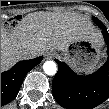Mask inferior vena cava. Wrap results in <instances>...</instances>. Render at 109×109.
I'll use <instances>...</instances> for the list:
<instances>
[{
  "label": "inferior vena cava",
  "mask_w": 109,
  "mask_h": 109,
  "mask_svg": "<svg viewBox=\"0 0 109 109\" xmlns=\"http://www.w3.org/2000/svg\"><path fill=\"white\" fill-rule=\"evenodd\" d=\"M18 55L21 59H32L36 57V52L31 49H20Z\"/></svg>",
  "instance_id": "1"
}]
</instances>
